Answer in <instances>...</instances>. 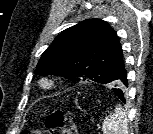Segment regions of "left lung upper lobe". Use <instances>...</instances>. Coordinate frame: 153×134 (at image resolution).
<instances>
[{"label":"left lung upper lobe","mask_w":153,"mask_h":134,"mask_svg":"<svg viewBox=\"0 0 153 134\" xmlns=\"http://www.w3.org/2000/svg\"><path fill=\"white\" fill-rule=\"evenodd\" d=\"M124 69L116 32L100 19L82 21L62 31L41 55L35 73L92 80L125 91L119 74Z\"/></svg>","instance_id":"1"}]
</instances>
